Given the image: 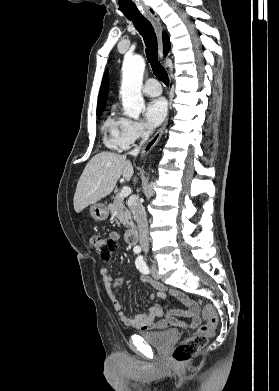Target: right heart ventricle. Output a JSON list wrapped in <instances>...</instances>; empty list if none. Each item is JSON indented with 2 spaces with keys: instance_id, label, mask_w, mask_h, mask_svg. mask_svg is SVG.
<instances>
[{
  "instance_id": "1",
  "label": "right heart ventricle",
  "mask_w": 279,
  "mask_h": 391,
  "mask_svg": "<svg viewBox=\"0 0 279 391\" xmlns=\"http://www.w3.org/2000/svg\"><path fill=\"white\" fill-rule=\"evenodd\" d=\"M123 119L113 111L106 117L103 123L104 142L111 149L123 148L122 127Z\"/></svg>"
}]
</instances>
